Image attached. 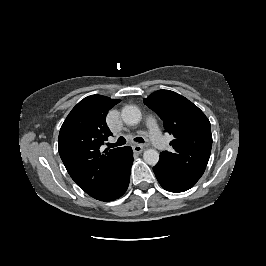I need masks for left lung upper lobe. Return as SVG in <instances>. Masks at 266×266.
I'll use <instances>...</instances> for the list:
<instances>
[{
	"label": "left lung upper lobe",
	"instance_id": "1",
	"mask_svg": "<svg viewBox=\"0 0 266 266\" xmlns=\"http://www.w3.org/2000/svg\"><path fill=\"white\" fill-rule=\"evenodd\" d=\"M164 121L174 136L172 152L163 151L160 162L182 175L202 176L207 166L212 134L208 118L191 101L170 90H158L143 100Z\"/></svg>",
	"mask_w": 266,
	"mask_h": 266
}]
</instances>
